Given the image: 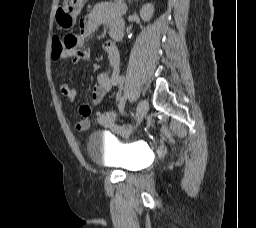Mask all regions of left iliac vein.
Wrapping results in <instances>:
<instances>
[{"label":"left iliac vein","mask_w":256,"mask_h":228,"mask_svg":"<svg viewBox=\"0 0 256 228\" xmlns=\"http://www.w3.org/2000/svg\"><path fill=\"white\" fill-rule=\"evenodd\" d=\"M149 110V104L147 100H141L138 103L137 109H136V122L137 125L140 124V122L144 119L147 112Z\"/></svg>","instance_id":"obj_1"}]
</instances>
